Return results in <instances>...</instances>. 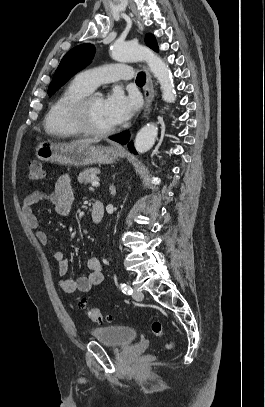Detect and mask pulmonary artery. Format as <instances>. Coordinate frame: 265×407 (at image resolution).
Here are the masks:
<instances>
[{
	"instance_id": "obj_1",
	"label": "pulmonary artery",
	"mask_w": 265,
	"mask_h": 407,
	"mask_svg": "<svg viewBox=\"0 0 265 407\" xmlns=\"http://www.w3.org/2000/svg\"><path fill=\"white\" fill-rule=\"evenodd\" d=\"M132 77L133 72L130 66L104 65L83 71L79 73L75 79L92 91L100 84L116 82L119 80L128 81L131 80Z\"/></svg>"
}]
</instances>
